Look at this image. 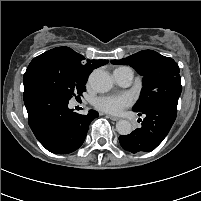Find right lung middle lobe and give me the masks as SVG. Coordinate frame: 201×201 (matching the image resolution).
Instances as JSON below:
<instances>
[{"mask_svg":"<svg viewBox=\"0 0 201 201\" xmlns=\"http://www.w3.org/2000/svg\"><path fill=\"white\" fill-rule=\"evenodd\" d=\"M86 81L73 75L58 57L49 56L30 63L24 74V86L35 85L49 89L70 100L82 95Z\"/></svg>","mask_w":201,"mask_h":201,"instance_id":"right-lung-middle-lobe-1","label":"right lung middle lobe"}]
</instances>
